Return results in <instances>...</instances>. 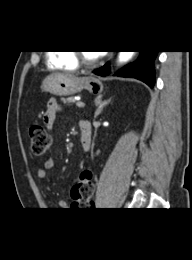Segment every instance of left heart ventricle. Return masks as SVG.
<instances>
[{
  "label": "left heart ventricle",
  "mask_w": 192,
  "mask_h": 260,
  "mask_svg": "<svg viewBox=\"0 0 192 260\" xmlns=\"http://www.w3.org/2000/svg\"><path fill=\"white\" fill-rule=\"evenodd\" d=\"M85 56L88 57L89 59H93L95 58L96 56H98L97 53L95 52H90V51H87V52H84Z\"/></svg>",
  "instance_id": "left-heart-ventricle-1"
}]
</instances>
